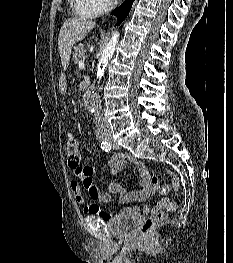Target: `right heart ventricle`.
Returning a JSON list of instances; mask_svg holds the SVG:
<instances>
[{
	"mask_svg": "<svg viewBox=\"0 0 233 263\" xmlns=\"http://www.w3.org/2000/svg\"><path fill=\"white\" fill-rule=\"evenodd\" d=\"M74 7L77 13L84 17H92L95 15L86 0H74Z\"/></svg>",
	"mask_w": 233,
	"mask_h": 263,
	"instance_id": "obj_1",
	"label": "right heart ventricle"
}]
</instances>
